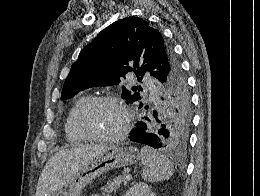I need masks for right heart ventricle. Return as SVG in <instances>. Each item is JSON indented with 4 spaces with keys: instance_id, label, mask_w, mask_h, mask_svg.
Here are the masks:
<instances>
[{
    "instance_id": "right-heart-ventricle-1",
    "label": "right heart ventricle",
    "mask_w": 260,
    "mask_h": 196,
    "mask_svg": "<svg viewBox=\"0 0 260 196\" xmlns=\"http://www.w3.org/2000/svg\"><path fill=\"white\" fill-rule=\"evenodd\" d=\"M89 96H81L76 100L71 110L68 113L65 126L64 134L66 140L71 144H79L85 140L76 127V115L78 110L89 100Z\"/></svg>"
}]
</instances>
